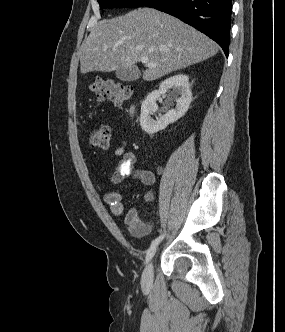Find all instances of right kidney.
I'll return each instance as SVG.
<instances>
[{"instance_id": "obj_1", "label": "right kidney", "mask_w": 285, "mask_h": 332, "mask_svg": "<svg viewBox=\"0 0 285 332\" xmlns=\"http://www.w3.org/2000/svg\"><path fill=\"white\" fill-rule=\"evenodd\" d=\"M172 90L171 95L176 100L174 109L166 114L152 118L156 113V100L167 91ZM192 93L190 91L189 77L185 74L174 75L163 81L158 90H154L146 97L141 105L140 125L148 134H154L165 129L169 124L176 122L187 112Z\"/></svg>"}]
</instances>
